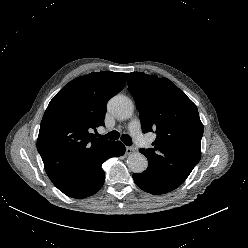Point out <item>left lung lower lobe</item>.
<instances>
[{
    "label": "left lung lower lobe",
    "mask_w": 248,
    "mask_h": 248,
    "mask_svg": "<svg viewBox=\"0 0 248 248\" xmlns=\"http://www.w3.org/2000/svg\"><path fill=\"white\" fill-rule=\"evenodd\" d=\"M133 179L142 190L154 195L168 193L180 186L166 177L159 169L152 167H148L143 173H134Z\"/></svg>",
    "instance_id": "0a47b994"
}]
</instances>
